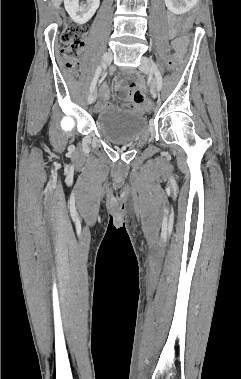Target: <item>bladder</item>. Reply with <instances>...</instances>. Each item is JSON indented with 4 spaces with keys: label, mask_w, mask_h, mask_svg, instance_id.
<instances>
[{
    "label": "bladder",
    "mask_w": 241,
    "mask_h": 379,
    "mask_svg": "<svg viewBox=\"0 0 241 379\" xmlns=\"http://www.w3.org/2000/svg\"><path fill=\"white\" fill-rule=\"evenodd\" d=\"M100 135L116 144L131 143L140 139L146 132L147 121L143 114L123 108H108L96 118Z\"/></svg>",
    "instance_id": "31cf9c89"
}]
</instances>
